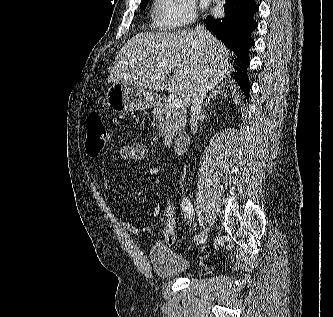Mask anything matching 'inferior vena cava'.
Segmentation results:
<instances>
[{
  "mask_svg": "<svg viewBox=\"0 0 333 317\" xmlns=\"http://www.w3.org/2000/svg\"><path fill=\"white\" fill-rule=\"evenodd\" d=\"M195 30L199 34V36L201 37L206 36V31L204 30L203 27L197 26ZM209 89L210 86L207 80L199 81L196 91L193 95L192 107L190 113V127L191 131L193 132V135L197 133L198 117L201 113L203 99L205 98Z\"/></svg>",
  "mask_w": 333,
  "mask_h": 317,
  "instance_id": "1",
  "label": "inferior vena cava"
}]
</instances>
